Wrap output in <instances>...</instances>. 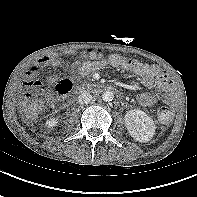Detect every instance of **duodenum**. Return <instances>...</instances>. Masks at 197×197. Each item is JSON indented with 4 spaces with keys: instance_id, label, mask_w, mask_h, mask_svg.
<instances>
[{
    "instance_id": "obj_1",
    "label": "duodenum",
    "mask_w": 197,
    "mask_h": 197,
    "mask_svg": "<svg viewBox=\"0 0 197 197\" xmlns=\"http://www.w3.org/2000/svg\"><path fill=\"white\" fill-rule=\"evenodd\" d=\"M85 90H88L89 92H95V93H102L106 91H118L116 88H113L108 85H94L90 88H85V87L80 86L76 89V92L83 93Z\"/></svg>"
}]
</instances>
